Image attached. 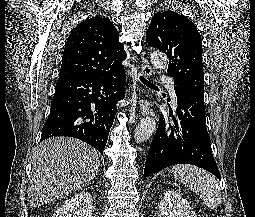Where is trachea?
I'll return each instance as SVG.
<instances>
[{"instance_id":"3493384b","label":"trachea","mask_w":255,"mask_h":217,"mask_svg":"<svg viewBox=\"0 0 255 217\" xmlns=\"http://www.w3.org/2000/svg\"><path fill=\"white\" fill-rule=\"evenodd\" d=\"M140 80L143 84H145L146 86L150 87V88H157L153 83H151L150 81H148L146 78H144L143 76H140Z\"/></svg>"}]
</instances>
